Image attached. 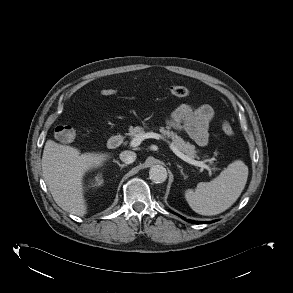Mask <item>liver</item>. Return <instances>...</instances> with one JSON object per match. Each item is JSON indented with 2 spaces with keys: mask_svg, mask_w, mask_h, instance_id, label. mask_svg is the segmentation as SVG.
Instances as JSON below:
<instances>
[{
  "mask_svg": "<svg viewBox=\"0 0 293 293\" xmlns=\"http://www.w3.org/2000/svg\"><path fill=\"white\" fill-rule=\"evenodd\" d=\"M109 157L104 153H84L80 150L47 140L41 160L43 178L55 202L66 212L84 216L83 179L90 169L97 168Z\"/></svg>",
  "mask_w": 293,
  "mask_h": 293,
  "instance_id": "liver-1",
  "label": "liver"
}]
</instances>
